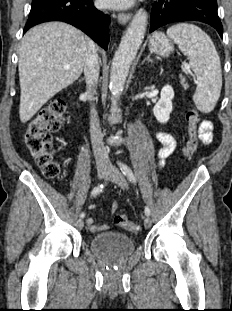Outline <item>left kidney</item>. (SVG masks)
Returning a JSON list of instances; mask_svg holds the SVG:
<instances>
[{
	"instance_id": "left-kidney-1",
	"label": "left kidney",
	"mask_w": 232,
	"mask_h": 311,
	"mask_svg": "<svg viewBox=\"0 0 232 311\" xmlns=\"http://www.w3.org/2000/svg\"><path fill=\"white\" fill-rule=\"evenodd\" d=\"M174 91L170 85H165L161 90V97L153 108V114L158 122L165 124L170 118L172 112V99Z\"/></svg>"
}]
</instances>
